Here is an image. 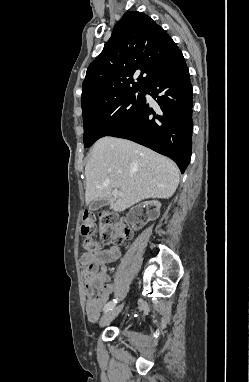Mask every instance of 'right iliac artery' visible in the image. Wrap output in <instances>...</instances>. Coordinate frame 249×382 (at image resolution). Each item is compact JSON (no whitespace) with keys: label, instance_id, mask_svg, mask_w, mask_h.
<instances>
[{"label":"right iliac artery","instance_id":"82829eb1","mask_svg":"<svg viewBox=\"0 0 249 382\" xmlns=\"http://www.w3.org/2000/svg\"><path fill=\"white\" fill-rule=\"evenodd\" d=\"M117 303V299H113L112 301H109L105 306H104V312H108L114 308V306Z\"/></svg>","mask_w":249,"mask_h":382}]
</instances>
